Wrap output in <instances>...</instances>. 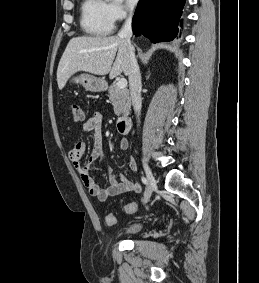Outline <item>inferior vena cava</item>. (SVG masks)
Returning a JSON list of instances; mask_svg holds the SVG:
<instances>
[{"label":"inferior vena cava","mask_w":259,"mask_h":283,"mask_svg":"<svg viewBox=\"0 0 259 283\" xmlns=\"http://www.w3.org/2000/svg\"><path fill=\"white\" fill-rule=\"evenodd\" d=\"M118 36L124 39V42L128 46L129 50V88L130 95L132 99V104L134 107V111L139 117L142 107L141 100V73L139 69V65L137 63L134 47L131 44L132 37V27H131V15L126 19L124 26L118 33Z\"/></svg>","instance_id":"602c4592"}]
</instances>
